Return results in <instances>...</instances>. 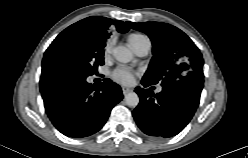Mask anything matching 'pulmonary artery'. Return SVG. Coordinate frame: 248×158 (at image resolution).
<instances>
[{
    "mask_svg": "<svg viewBox=\"0 0 248 158\" xmlns=\"http://www.w3.org/2000/svg\"><path fill=\"white\" fill-rule=\"evenodd\" d=\"M151 48V43L148 38H144L134 49L135 53L138 56H146ZM157 91H161V88L159 87Z\"/></svg>",
    "mask_w": 248,
    "mask_h": 158,
    "instance_id": "1",
    "label": "pulmonary artery"
}]
</instances>
